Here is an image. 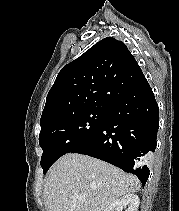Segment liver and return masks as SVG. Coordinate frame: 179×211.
Masks as SVG:
<instances>
[{"mask_svg":"<svg viewBox=\"0 0 179 211\" xmlns=\"http://www.w3.org/2000/svg\"><path fill=\"white\" fill-rule=\"evenodd\" d=\"M140 186L136 176L107 162L68 153L50 168L43 198L48 211H105L113 201L139 191Z\"/></svg>","mask_w":179,"mask_h":211,"instance_id":"liver-1","label":"liver"}]
</instances>
